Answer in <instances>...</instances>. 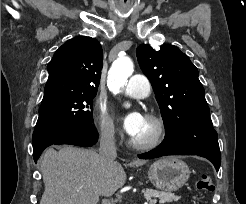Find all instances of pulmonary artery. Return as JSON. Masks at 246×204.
<instances>
[{
	"label": "pulmonary artery",
	"mask_w": 246,
	"mask_h": 204,
	"mask_svg": "<svg viewBox=\"0 0 246 204\" xmlns=\"http://www.w3.org/2000/svg\"><path fill=\"white\" fill-rule=\"evenodd\" d=\"M150 82L144 75H133L127 82L124 93L132 98H144L150 94Z\"/></svg>",
	"instance_id": "1"
}]
</instances>
